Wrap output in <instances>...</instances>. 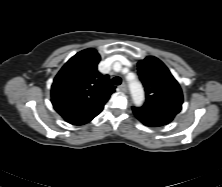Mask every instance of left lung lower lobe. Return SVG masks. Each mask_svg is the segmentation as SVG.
Returning a JSON list of instances; mask_svg holds the SVG:
<instances>
[{"instance_id": "1", "label": "left lung lower lobe", "mask_w": 222, "mask_h": 187, "mask_svg": "<svg viewBox=\"0 0 222 187\" xmlns=\"http://www.w3.org/2000/svg\"><path fill=\"white\" fill-rule=\"evenodd\" d=\"M133 113L144 125L158 127L168 124L175 117V113L164 111H150L143 108L133 107Z\"/></svg>"}]
</instances>
